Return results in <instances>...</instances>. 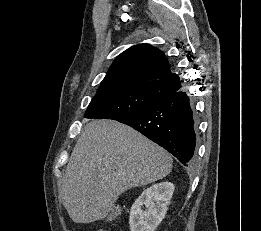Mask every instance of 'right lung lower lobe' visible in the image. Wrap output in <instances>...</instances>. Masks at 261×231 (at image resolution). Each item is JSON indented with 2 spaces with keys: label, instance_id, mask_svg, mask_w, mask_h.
<instances>
[{
  "label": "right lung lower lobe",
  "instance_id": "obj_1",
  "mask_svg": "<svg viewBox=\"0 0 261 231\" xmlns=\"http://www.w3.org/2000/svg\"><path fill=\"white\" fill-rule=\"evenodd\" d=\"M117 121L141 132L185 166L194 162L198 124L186 92L178 90Z\"/></svg>",
  "mask_w": 261,
  "mask_h": 231
}]
</instances>
